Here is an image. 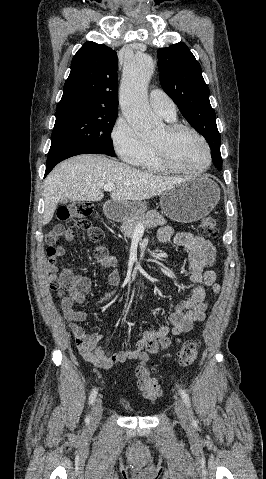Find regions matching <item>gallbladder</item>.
I'll use <instances>...</instances> for the list:
<instances>
[{"label": "gallbladder", "instance_id": "obj_1", "mask_svg": "<svg viewBox=\"0 0 266 479\" xmlns=\"http://www.w3.org/2000/svg\"><path fill=\"white\" fill-rule=\"evenodd\" d=\"M61 204H66L68 202L67 198L60 199L59 201Z\"/></svg>", "mask_w": 266, "mask_h": 479}]
</instances>
